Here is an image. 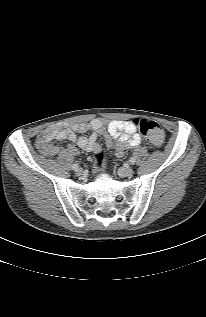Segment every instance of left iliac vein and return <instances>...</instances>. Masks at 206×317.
Returning a JSON list of instances; mask_svg holds the SVG:
<instances>
[{
  "label": "left iliac vein",
  "mask_w": 206,
  "mask_h": 317,
  "mask_svg": "<svg viewBox=\"0 0 206 317\" xmlns=\"http://www.w3.org/2000/svg\"><path fill=\"white\" fill-rule=\"evenodd\" d=\"M133 174V169L131 167L120 168L118 170V175L120 177H130Z\"/></svg>",
  "instance_id": "4c4485c4"
}]
</instances>
